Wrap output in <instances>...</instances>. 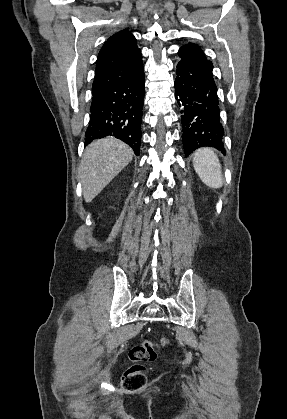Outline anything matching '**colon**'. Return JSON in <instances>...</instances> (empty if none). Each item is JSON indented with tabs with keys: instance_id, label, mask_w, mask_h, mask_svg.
Returning a JSON list of instances; mask_svg holds the SVG:
<instances>
[{
	"instance_id": "colon-1",
	"label": "colon",
	"mask_w": 287,
	"mask_h": 419,
	"mask_svg": "<svg viewBox=\"0 0 287 419\" xmlns=\"http://www.w3.org/2000/svg\"><path fill=\"white\" fill-rule=\"evenodd\" d=\"M158 346L152 341L145 340L134 346L129 352L131 365L126 370L122 387L126 391L142 389L147 384L145 363L152 362L157 357Z\"/></svg>"
}]
</instances>
